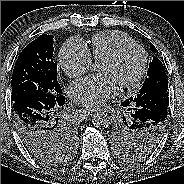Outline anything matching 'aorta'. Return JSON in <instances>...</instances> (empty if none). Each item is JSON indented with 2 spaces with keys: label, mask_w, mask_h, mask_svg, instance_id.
<instances>
[{
  "label": "aorta",
  "mask_w": 184,
  "mask_h": 184,
  "mask_svg": "<svg viewBox=\"0 0 184 184\" xmlns=\"http://www.w3.org/2000/svg\"><path fill=\"white\" fill-rule=\"evenodd\" d=\"M92 123L98 129H105L110 126L111 118L106 112H97L92 117Z\"/></svg>",
  "instance_id": "762f6f07"
}]
</instances>
